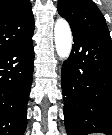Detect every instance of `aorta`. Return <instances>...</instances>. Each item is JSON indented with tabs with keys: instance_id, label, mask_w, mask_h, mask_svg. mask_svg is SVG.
I'll return each mask as SVG.
<instances>
[{
	"instance_id": "aorta-1",
	"label": "aorta",
	"mask_w": 112,
	"mask_h": 135,
	"mask_svg": "<svg viewBox=\"0 0 112 135\" xmlns=\"http://www.w3.org/2000/svg\"><path fill=\"white\" fill-rule=\"evenodd\" d=\"M54 41L58 56L63 60L68 59L72 48V33L64 18H59L55 23Z\"/></svg>"
}]
</instances>
